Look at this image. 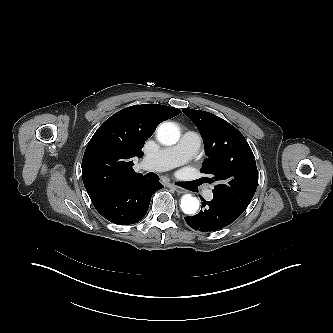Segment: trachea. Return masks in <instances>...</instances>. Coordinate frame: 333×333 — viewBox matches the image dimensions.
<instances>
[{
    "label": "trachea",
    "instance_id": "obj_1",
    "mask_svg": "<svg viewBox=\"0 0 333 333\" xmlns=\"http://www.w3.org/2000/svg\"><path fill=\"white\" fill-rule=\"evenodd\" d=\"M146 176L150 179L158 180V176L155 173L150 172V173H147ZM178 185L181 186L180 183H178Z\"/></svg>",
    "mask_w": 333,
    "mask_h": 333
}]
</instances>
